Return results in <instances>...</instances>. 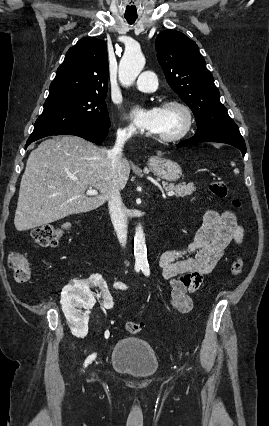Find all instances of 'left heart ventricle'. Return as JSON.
<instances>
[{"mask_svg":"<svg viewBox=\"0 0 269 426\" xmlns=\"http://www.w3.org/2000/svg\"><path fill=\"white\" fill-rule=\"evenodd\" d=\"M184 124V115L177 108H162L158 126L152 133L158 136H168L177 133Z\"/></svg>","mask_w":269,"mask_h":426,"instance_id":"obj_1","label":"left heart ventricle"}]
</instances>
